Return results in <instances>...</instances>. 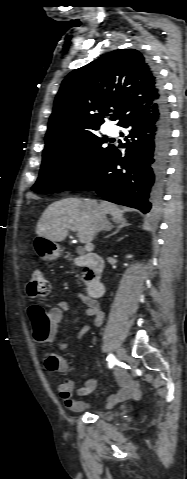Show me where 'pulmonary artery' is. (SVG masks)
<instances>
[{
	"instance_id": "obj_1",
	"label": "pulmonary artery",
	"mask_w": 187,
	"mask_h": 479,
	"mask_svg": "<svg viewBox=\"0 0 187 479\" xmlns=\"http://www.w3.org/2000/svg\"><path fill=\"white\" fill-rule=\"evenodd\" d=\"M108 133H109L110 135H115V134L117 133V131H116V129H114L113 127H110V128L108 129Z\"/></svg>"
}]
</instances>
